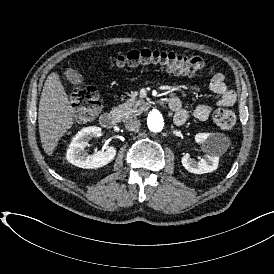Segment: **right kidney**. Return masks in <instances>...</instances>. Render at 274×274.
<instances>
[{"label": "right kidney", "instance_id": "right-kidney-1", "mask_svg": "<svg viewBox=\"0 0 274 274\" xmlns=\"http://www.w3.org/2000/svg\"><path fill=\"white\" fill-rule=\"evenodd\" d=\"M100 135L101 128L97 126L84 127L78 131L67 149V161L84 169H95L110 163L116 155V148L108 147L105 150L95 151L93 154H87L84 150L89 140Z\"/></svg>", "mask_w": 274, "mask_h": 274}]
</instances>
